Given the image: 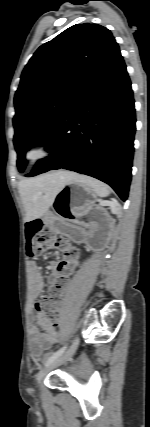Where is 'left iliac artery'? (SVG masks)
I'll use <instances>...</instances> for the list:
<instances>
[{
    "instance_id": "1",
    "label": "left iliac artery",
    "mask_w": 150,
    "mask_h": 427,
    "mask_svg": "<svg viewBox=\"0 0 150 427\" xmlns=\"http://www.w3.org/2000/svg\"><path fill=\"white\" fill-rule=\"evenodd\" d=\"M67 348V345H65L64 347L60 348L58 351H56L55 353H53L45 362V366L48 365L49 363L53 362L55 359H57L59 356H61L65 350Z\"/></svg>"
}]
</instances>
